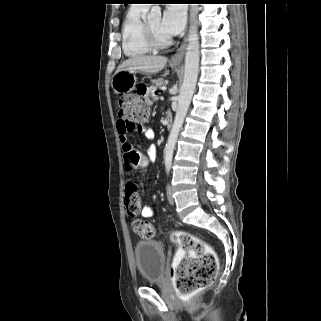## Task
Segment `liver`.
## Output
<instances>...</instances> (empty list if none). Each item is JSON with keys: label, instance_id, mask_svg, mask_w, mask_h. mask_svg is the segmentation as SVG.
I'll use <instances>...</instances> for the list:
<instances>
[{"label": "liver", "instance_id": "1", "mask_svg": "<svg viewBox=\"0 0 321 321\" xmlns=\"http://www.w3.org/2000/svg\"><path fill=\"white\" fill-rule=\"evenodd\" d=\"M167 58L164 56H135L125 60L118 68L117 72L140 71L148 74H155L164 69Z\"/></svg>", "mask_w": 321, "mask_h": 321}]
</instances>
